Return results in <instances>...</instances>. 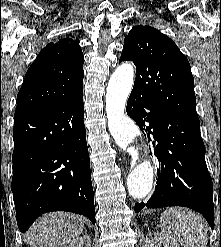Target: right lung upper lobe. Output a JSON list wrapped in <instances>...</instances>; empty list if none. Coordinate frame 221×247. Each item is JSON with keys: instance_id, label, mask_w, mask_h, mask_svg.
Instances as JSON below:
<instances>
[{"instance_id": "1", "label": "right lung upper lobe", "mask_w": 221, "mask_h": 247, "mask_svg": "<svg viewBox=\"0 0 221 247\" xmlns=\"http://www.w3.org/2000/svg\"><path fill=\"white\" fill-rule=\"evenodd\" d=\"M83 63L78 39L68 36L49 43L25 75L15 116L62 105L82 95Z\"/></svg>"}]
</instances>
